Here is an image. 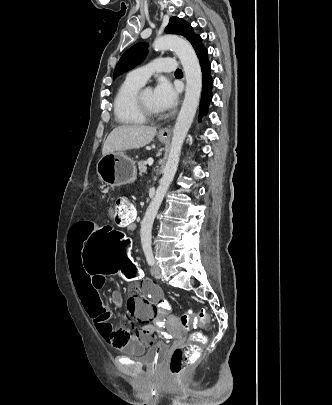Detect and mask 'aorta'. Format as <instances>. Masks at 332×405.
Listing matches in <instances>:
<instances>
[{
	"instance_id": "obj_1",
	"label": "aorta",
	"mask_w": 332,
	"mask_h": 405,
	"mask_svg": "<svg viewBox=\"0 0 332 405\" xmlns=\"http://www.w3.org/2000/svg\"><path fill=\"white\" fill-rule=\"evenodd\" d=\"M153 48L156 51L170 49L178 56L186 77V91L173 129L163 176L141 223L140 235L143 247L151 245L153 223L177 171L182 145L195 117L202 91L201 67L197 55L188 41L175 35H166L157 37L153 43Z\"/></svg>"
}]
</instances>
